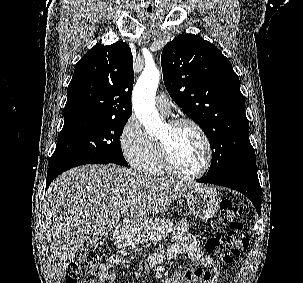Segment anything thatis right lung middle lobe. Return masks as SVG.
I'll use <instances>...</instances> for the list:
<instances>
[{
  "label": "right lung middle lobe",
  "instance_id": "obj_1",
  "mask_svg": "<svg viewBox=\"0 0 303 283\" xmlns=\"http://www.w3.org/2000/svg\"><path fill=\"white\" fill-rule=\"evenodd\" d=\"M127 120L88 114L65 117L49 166L79 161L127 166L119 140Z\"/></svg>",
  "mask_w": 303,
  "mask_h": 283
}]
</instances>
